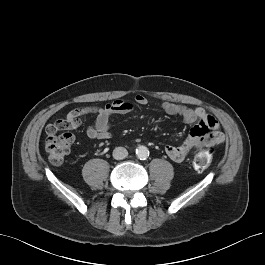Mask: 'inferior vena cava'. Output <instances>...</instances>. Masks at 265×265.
<instances>
[{"mask_svg": "<svg viewBox=\"0 0 265 265\" xmlns=\"http://www.w3.org/2000/svg\"><path fill=\"white\" fill-rule=\"evenodd\" d=\"M128 156V151L124 147H116L113 150V157L116 160L124 159Z\"/></svg>", "mask_w": 265, "mask_h": 265, "instance_id": "1", "label": "inferior vena cava"}]
</instances>
